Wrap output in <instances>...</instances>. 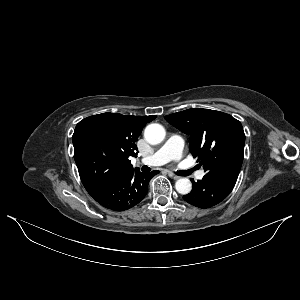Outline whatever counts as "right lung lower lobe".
<instances>
[{
	"label": "right lung lower lobe",
	"instance_id": "1",
	"mask_svg": "<svg viewBox=\"0 0 300 300\" xmlns=\"http://www.w3.org/2000/svg\"><path fill=\"white\" fill-rule=\"evenodd\" d=\"M159 171L141 173L133 171L115 179L84 186L87 192L103 207L113 211L128 210L146 196L148 183Z\"/></svg>",
	"mask_w": 300,
	"mask_h": 300
}]
</instances>
